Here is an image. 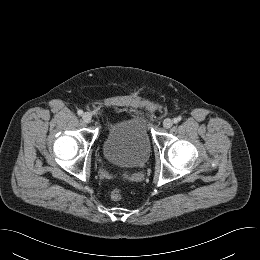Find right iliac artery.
Returning a JSON list of instances; mask_svg holds the SVG:
<instances>
[{"instance_id": "obj_1", "label": "right iliac artery", "mask_w": 260, "mask_h": 260, "mask_svg": "<svg viewBox=\"0 0 260 260\" xmlns=\"http://www.w3.org/2000/svg\"><path fill=\"white\" fill-rule=\"evenodd\" d=\"M77 113H78V115L81 116L83 114V111L82 110H78Z\"/></svg>"}]
</instances>
